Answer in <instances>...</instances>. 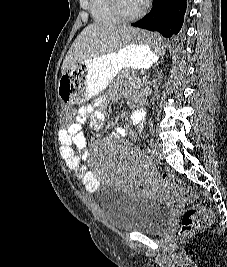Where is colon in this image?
Segmentation results:
<instances>
[{
    "mask_svg": "<svg viewBox=\"0 0 227 267\" xmlns=\"http://www.w3.org/2000/svg\"><path fill=\"white\" fill-rule=\"evenodd\" d=\"M64 108L61 111L63 119H75L74 110ZM61 125H72V120H61ZM161 185L169 192L175 194L181 201L190 202L195 199L191 187L183 180L171 174L164 173L161 177ZM214 224V214L206 206L191 207L187 209L180 222L179 237L181 239L193 236L195 233L209 229Z\"/></svg>",
    "mask_w": 227,
    "mask_h": 267,
    "instance_id": "colon-1",
    "label": "colon"
}]
</instances>
